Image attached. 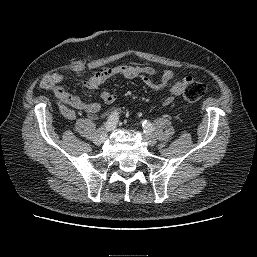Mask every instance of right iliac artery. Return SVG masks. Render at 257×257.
<instances>
[{
  "instance_id": "1",
  "label": "right iliac artery",
  "mask_w": 257,
  "mask_h": 257,
  "mask_svg": "<svg viewBox=\"0 0 257 257\" xmlns=\"http://www.w3.org/2000/svg\"><path fill=\"white\" fill-rule=\"evenodd\" d=\"M118 119H119L118 113L117 112L112 113L109 116L107 122L105 123V129L110 131L113 128H115V126H116V124L118 122Z\"/></svg>"
}]
</instances>
